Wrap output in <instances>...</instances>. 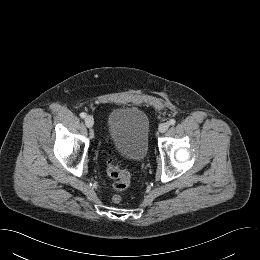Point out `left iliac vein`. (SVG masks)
I'll return each instance as SVG.
<instances>
[{
	"instance_id": "1",
	"label": "left iliac vein",
	"mask_w": 260,
	"mask_h": 260,
	"mask_svg": "<svg viewBox=\"0 0 260 260\" xmlns=\"http://www.w3.org/2000/svg\"><path fill=\"white\" fill-rule=\"evenodd\" d=\"M168 128H169V123H161L159 125V132L164 133L168 130Z\"/></svg>"
}]
</instances>
